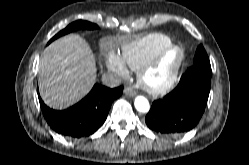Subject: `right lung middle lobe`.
Segmentation results:
<instances>
[{
  "label": "right lung middle lobe",
  "mask_w": 249,
  "mask_h": 165,
  "mask_svg": "<svg viewBox=\"0 0 249 165\" xmlns=\"http://www.w3.org/2000/svg\"><path fill=\"white\" fill-rule=\"evenodd\" d=\"M97 27L98 26L96 24H93V23H90V22H87V21H82V20L75 21V22L71 23L70 25H68L65 29L61 30L58 34H56L49 41V43L52 42L57 37H59L61 35H65V34L71 32L73 30H76V29H95Z\"/></svg>",
  "instance_id": "1"
}]
</instances>
